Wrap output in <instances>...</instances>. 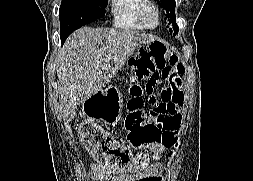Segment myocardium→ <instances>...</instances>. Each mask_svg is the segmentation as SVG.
<instances>
[{
    "label": "myocardium",
    "mask_w": 253,
    "mask_h": 181,
    "mask_svg": "<svg viewBox=\"0 0 253 181\" xmlns=\"http://www.w3.org/2000/svg\"><path fill=\"white\" fill-rule=\"evenodd\" d=\"M149 9L153 10L156 16V23L154 25H150L146 18V13ZM138 18L140 23L145 29L148 30L156 29L160 25L161 21V12L157 3L154 2L153 0H142V3L140 4L138 9Z\"/></svg>",
    "instance_id": "1"
}]
</instances>
